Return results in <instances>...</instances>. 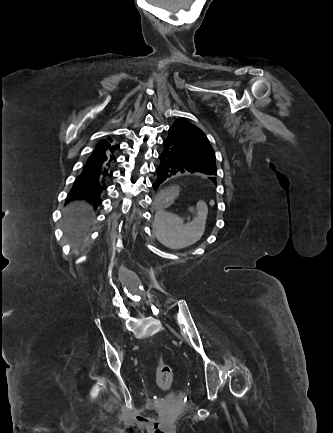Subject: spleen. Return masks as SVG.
<instances>
[{
  "label": "spleen",
  "instance_id": "spleen-1",
  "mask_svg": "<svg viewBox=\"0 0 333 433\" xmlns=\"http://www.w3.org/2000/svg\"><path fill=\"white\" fill-rule=\"evenodd\" d=\"M197 207V216L186 224L180 217L175 216V213H168L171 209H168V212L156 210L154 236L161 244L173 250L186 248L199 241L205 231L207 208L202 202H199Z\"/></svg>",
  "mask_w": 333,
  "mask_h": 433
}]
</instances>
